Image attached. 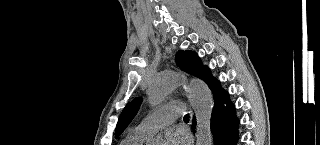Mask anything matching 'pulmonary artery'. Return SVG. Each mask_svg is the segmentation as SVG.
<instances>
[{
    "label": "pulmonary artery",
    "instance_id": "obj_1",
    "mask_svg": "<svg viewBox=\"0 0 320 145\" xmlns=\"http://www.w3.org/2000/svg\"><path fill=\"white\" fill-rule=\"evenodd\" d=\"M184 113L182 102H172L158 108L153 114L141 121L135 128L139 133L151 137Z\"/></svg>",
    "mask_w": 320,
    "mask_h": 145
}]
</instances>
